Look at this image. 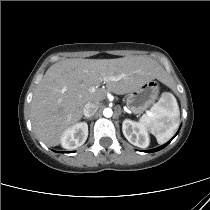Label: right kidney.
<instances>
[{
    "mask_svg": "<svg viewBox=\"0 0 210 210\" xmlns=\"http://www.w3.org/2000/svg\"><path fill=\"white\" fill-rule=\"evenodd\" d=\"M88 137V125L86 122H81L67 129L61 138L63 148L73 150L83 145Z\"/></svg>",
    "mask_w": 210,
    "mask_h": 210,
    "instance_id": "1",
    "label": "right kidney"
}]
</instances>
